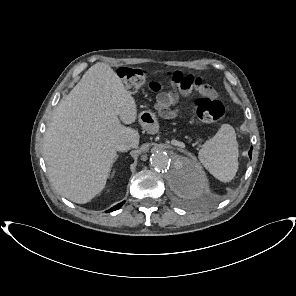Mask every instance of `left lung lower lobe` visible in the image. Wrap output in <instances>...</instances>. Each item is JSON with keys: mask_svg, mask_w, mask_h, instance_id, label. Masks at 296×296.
Returning a JSON list of instances; mask_svg holds the SVG:
<instances>
[{"mask_svg": "<svg viewBox=\"0 0 296 296\" xmlns=\"http://www.w3.org/2000/svg\"><path fill=\"white\" fill-rule=\"evenodd\" d=\"M249 155L251 157V155H252V147H251V150L249 151Z\"/></svg>", "mask_w": 296, "mask_h": 296, "instance_id": "obj_1", "label": "left lung lower lobe"}]
</instances>
